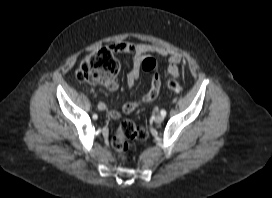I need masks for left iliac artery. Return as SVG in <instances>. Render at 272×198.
Returning a JSON list of instances; mask_svg holds the SVG:
<instances>
[{"label": "left iliac artery", "mask_w": 272, "mask_h": 198, "mask_svg": "<svg viewBox=\"0 0 272 198\" xmlns=\"http://www.w3.org/2000/svg\"><path fill=\"white\" fill-rule=\"evenodd\" d=\"M160 113H161L162 116H164V117L166 116V111L165 110H161Z\"/></svg>", "instance_id": "1"}]
</instances>
